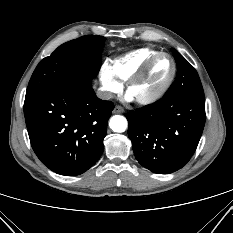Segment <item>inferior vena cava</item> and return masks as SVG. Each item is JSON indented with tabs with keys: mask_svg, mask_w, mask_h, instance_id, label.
<instances>
[{
	"mask_svg": "<svg viewBox=\"0 0 233 233\" xmlns=\"http://www.w3.org/2000/svg\"><path fill=\"white\" fill-rule=\"evenodd\" d=\"M96 95L102 100H109L113 97L112 93L100 89L97 90Z\"/></svg>",
	"mask_w": 233,
	"mask_h": 233,
	"instance_id": "1",
	"label": "inferior vena cava"
}]
</instances>
